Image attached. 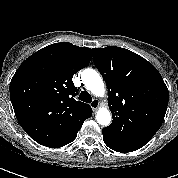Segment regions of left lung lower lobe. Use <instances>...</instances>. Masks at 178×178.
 <instances>
[{
	"instance_id": "0a47b994",
	"label": "left lung lower lobe",
	"mask_w": 178,
	"mask_h": 178,
	"mask_svg": "<svg viewBox=\"0 0 178 178\" xmlns=\"http://www.w3.org/2000/svg\"><path fill=\"white\" fill-rule=\"evenodd\" d=\"M103 133V140L104 143L112 150L117 151V152H131L135 151L139 148L133 147L124 143H121L119 141L113 140L110 138L108 135H106L104 132Z\"/></svg>"
}]
</instances>
